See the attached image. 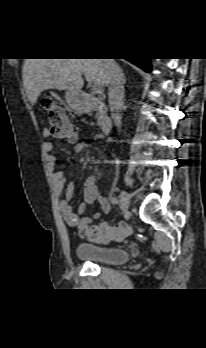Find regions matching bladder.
<instances>
[{
    "instance_id": "bladder-1",
    "label": "bladder",
    "mask_w": 206,
    "mask_h": 348,
    "mask_svg": "<svg viewBox=\"0 0 206 348\" xmlns=\"http://www.w3.org/2000/svg\"><path fill=\"white\" fill-rule=\"evenodd\" d=\"M76 256L89 262L104 264L124 263L131 259L128 250L120 247L98 246L88 243H80L75 249Z\"/></svg>"
}]
</instances>
